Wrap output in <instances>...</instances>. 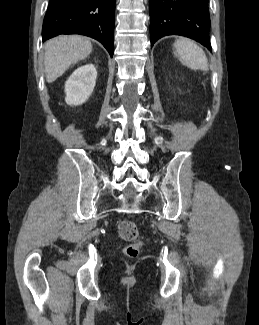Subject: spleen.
I'll return each instance as SVG.
<instances>
[{"mask_svg":"<svg viewBox=\"0 0 259 325\" xmlns=\"http://www.w3.org/2000/svg\"><path fill=\"white\" fill-rule=\"evenodd\" d=\"M174 54L180 62L193 70H208V59L204 51L193 41L182 38L175 41Z\"/></svg>","mask_w":259,"mask_h":325,"instance_id":"spleen-1","label":"spleen"}]
</instances>
